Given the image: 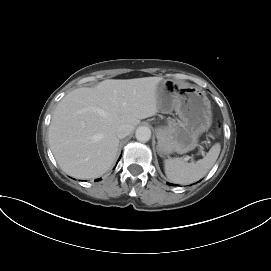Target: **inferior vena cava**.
Masks as SVG:
<instances>
[{
  "instance_id": "inferior-vena-cava-1",
  "label": "inferior vena cava",
  "mask_w": 271,
  "mask_h": 271,
  "mask_svg": "<svg viewBox=\"0 0 271 271\" xmlns=\"http://www.w3.org/2000/svg\"><path fill=\"white\" fill-rule=\"evenodd\" d=\"M130 133H131V127H130V125H125V124L121 125L116 130V135L120 139L128 136Z\"/></svg>"
}]
</instances>
